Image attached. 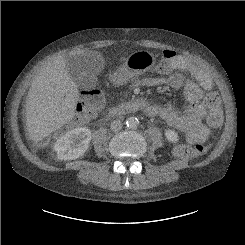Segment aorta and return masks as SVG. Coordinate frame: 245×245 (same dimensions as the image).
I'll return each mask as SVG.
<instances>
[{
	"mask_svg": "<svg viewBox=\"0 0 245 245\" xmlns=\"http://www.w3.org/2000/svg\"><path fill=\"white\" fill-rule=\"evenodd\" d=\"M138 124H139V121L135 117H130L126 121L127 127L132 128V129L137 128Z\"/></svg>",
	"mask_w": 245,
	"mask_h": 245,
	"instance_id": "aorta-1",
	"label": "aorta"
}]
</instances>
